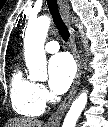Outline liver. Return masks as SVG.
<instances>
[{
  "label": "liver",
  "mask_w": 108,
  "mask_h": 127,
  "mask_svg": "<svg viewBox=\"0 0 108 127\" xmlns=\"http://www.w3.org/2000/svg\"><path fill=\"white\" fill-rule=\"evenodd\" d=\"M5 127H42V121L35 118H12Z\"/></svg>",
  "instance_id": "liver-1"
}]
</instances>
